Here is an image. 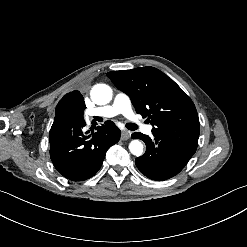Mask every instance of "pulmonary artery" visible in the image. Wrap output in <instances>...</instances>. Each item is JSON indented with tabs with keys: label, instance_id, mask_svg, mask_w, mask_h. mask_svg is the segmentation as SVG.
<instances>
[{
	"label": "pulmonary artery",
	"instance_id": "e3ab8cb5",
	"mask_svg": "<svg viewBox=\"0 0 247 247\" xmlns=\"http://www.w3.org/2000/svg\"><path fill=\"white\" fill-rule=\"evenodd\" d=\"M119 114L134 119L133 121L136 124L135 127L139 132L142 131L145 134L153 135L154 125H147L145 127L144 124L141 123V118L138 116L136 117V114L133 111L131 97L127 93L121 91L115 94L114 99L110 104L86 110L84 120L89 125L94 117L112 118ZM144 127L145 130H143Z\"/></svg>",
	"mask_w": 247,
	"mask_h": 247
}]
</instances>
